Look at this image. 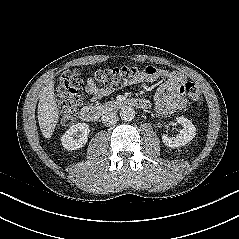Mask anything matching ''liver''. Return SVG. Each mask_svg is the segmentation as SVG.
<instances>
[{
	"label": "liver",
	"instance_id": "6515ba94",
	"mask_svg": "<svg viewBox=\"0 0 239 239\" xmlns=\"http://www.w3.org/2000/svg\"><path fill=\"white\" fill-rule=\"evenodd\" d=\"M38 122L42 135L51 138L59 120V111L55 101L54 82L44 87L38 103Z\"/></svg>",
	"mask_w": 239,
	"mask_h": 239
}]
</instances>
